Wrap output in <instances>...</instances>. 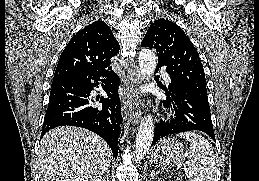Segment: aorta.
Masks as SVG:
<instances>
[{
	"instance_id": "aorta-1",
	"label": "aorta",
	"mask_w": 259,
	"mask_h": 181,
	"mask_svg": "<svg viewBox=\"0 0 259 181\" xmlns=\"http://www.w3.org/2000/svg\"><path fill=\"white\" fill-rule=\"evenodd\" d=\"M140 71L144 78L152 76L156 68V55L150 49H142L138 57ZM154 136V123L151 116L142 120L135 141V162H139L149 151Z\"/></svg>"
}]
</instances>
